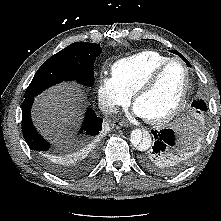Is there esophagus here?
Instances as JSON below:
<instances>
[{
    "instance_id": "1",
    "label": "esophagus",
    "mask_w": 221,
    "mask_h": 221,
    "mask_svg": "<svg viewBox=\"0 0 221 221\" xmlns=\"http://www.w3.org/2000/svg\"><path fill=\"white\" fill-rule=\"evenodd\" d=\"M111 125L118 129V128L126 126V123L121 122V121H113Z\"/></svg>"
}]
</instances>
